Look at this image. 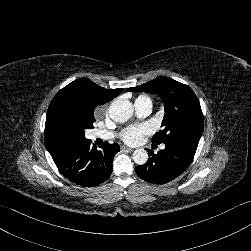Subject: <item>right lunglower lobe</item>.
<instances>
[{"mask_svg": "<svg viewBox=\"0 0 251 251\" xmlns=\"http://www.w3.org/2000/svg\"><path fill=\"white\" fill-rule=\"evenodd\" d=\"M91 140L57 143L50 154L62 175L75 184L92 187L106 181L112 173V162L120 151L117 143L107 142L102 150L91 147Z\"/></svg>", "mask_w": 251, "mask_h": 251, "instance_id": "obj_1", "label": "right lung lower lobe"}]
</instances>
